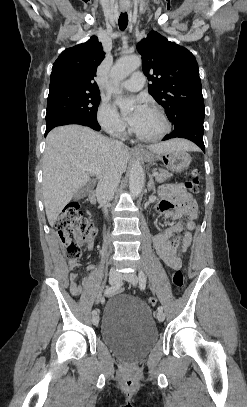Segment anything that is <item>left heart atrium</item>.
<instances>
[{
    "instance_id": "left-heart-atrium-1",
    "label": "left heart atrium",
    "mask_w": 247,
    "mask_h": 407,
    "mask_svg": "<svg viewBox=\"0 0 247 407\" xmlns=\"http://www.w3.org/2000/svg\"><path fill=\"white\" fill-rule=\"evenodd\" d=\"M118 105H133L132 112L126 117L127 121L133 127L135 126L144 112L146 111L147 107L143 104L140 98H131V99H121L117 101Z\"/></svg>"
}]
</instances>
